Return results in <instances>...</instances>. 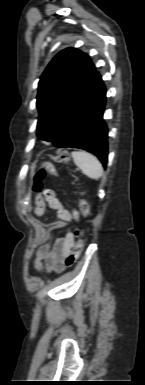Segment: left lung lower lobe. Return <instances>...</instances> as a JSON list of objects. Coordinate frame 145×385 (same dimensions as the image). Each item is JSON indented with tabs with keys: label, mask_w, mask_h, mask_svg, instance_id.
I'll list each match as a JSON object with an SVG mask.
<instances>
[{
	"label": "left lung lower lobe",
	"mask_w": 145,
	"mask_h": 385,
	"mask_svg": "<svg viewBox=\"0 0 145 385\" xmlns=\"http://www.w3.org/2000/svg\"><path fill=\"white\" fill-rule=\"evenodd\" d=\"M106 90L95 71L86 91L60 123L50 142L55 147H76L95 154L106 167L107 127L103 120Z\"/></svg>",
	"instance_id": "left-lung-lower-lobe-1"
}]
</instances>
